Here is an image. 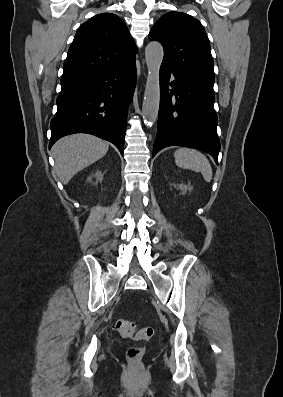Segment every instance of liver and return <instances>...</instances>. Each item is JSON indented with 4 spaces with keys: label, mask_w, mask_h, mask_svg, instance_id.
Segmentation results:
<instances>
[{
    "label": "liver",
    "mask_w": 283,
    "mask_h": 397,
    "mask_svg": "<svg viewBox=\"0 0 283 397\" xmlns=\"http://www.w3.org/2000/svg\"><path fill=\"white\" fill-rule=\"evenodd\" d=\"M108 149V142L89 134L61 138L52 149L57 176L67 184L76 173L105 156Z\"/></svg>",
    "instance_id": "1"
}]
</instances>
